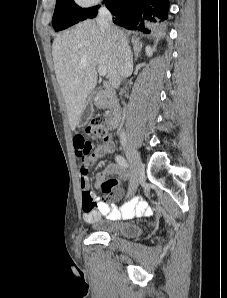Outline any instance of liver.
Listing matches in <instances>:
<instances>
[{
    "instance_id": "liver-1",
    "label": "liver",
    "mask_w": 227,
    "mask_h": 298,
    "mask_svg": "<svg viewBox=\"0 0 227 298\" xmlns=\"http://www.w3.org/2000/svg\"><path fill=\"white\" fill-rule=\"evenodd\" d=\"M117 30L127 41L124 33ZM52 56L69 124L74 131L88 96L97 84L96 67L102 65L107 69L109 82L104 83V87L117 89L121 83L114 41L99 28L97 21L88 19L57 35L52 44Z\"/></svg>"
}]
</instances>
